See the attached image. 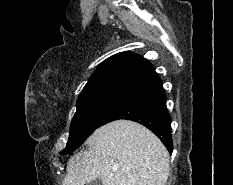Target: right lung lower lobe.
<instances>
[{
  "label": "right lung lower lobe",
  "mask_w": 233,
  "mask_h": 185,
  "mask_svg": "<svg viewBox=\"0 0 233 185\" xmlns=\"http://www.w3.org/2000/svg\"><path fill=\"white\" fill-rule=\"evenodd\" d=\"M118 119L132 120L146 126L172 152L171 117L166 107L162 81L158 76L130 90L104 117L99 127Z\"/></svg>",
  "instance_id": "98d812e1"
}]
</instances>
